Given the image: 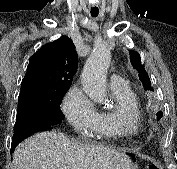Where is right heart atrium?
I'll return each mask as SVG.
<instances>
[{"instance_id": "1", "label": "right heart atrium", "mask_w": 177, "mask_h": 169, "mask_svg": "<svg viewBox=\"0 0 177 169\" xmlns=\"http://www.w3.org/2000/svg\"><path fill=\"white\" fill-rule=\"evenodd\" d=\"M62 109L67 120L78 133H87L96 123L97 110L93 102L78 87L68 91Z\"/></svg>"}]
</instances>
